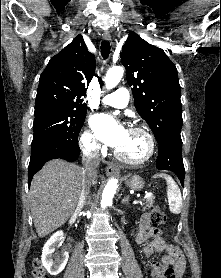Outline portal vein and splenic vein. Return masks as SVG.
I'll return each mask as SVG.
<instances>
[{
	"label": "portal vein and splenic vein",
	"instance_id": "18ae733b",
	"mask_svg": "<svg viewBox=\"0 0 221 278\" xmlns=\"http://www.w3.org/2000/svg\"><path fill=\"white\" fill-rule=\"evenodd\" d=\"M152 195L151 193H148L146 197ZM134 204H142V201H134Z\"/></svg>",
	"mask_w": 221,
	"mask_h": 278
}]
</instances>
